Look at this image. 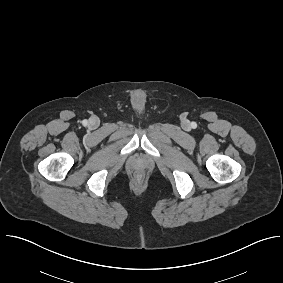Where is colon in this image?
Wrapping results in <instances>:
<instances>
[{
    "label": "colon",
    "mask_w": 283,
    "mask_h": 283,
    "mask_svg": "<svg viewBox=\"0 0 283 283\" xmlns=\"http://www.w3.org/2000/svg\"><path fill=\"white\" fill-rule=\"evenodd\" d=\"M135 179L137 181H141L143 179V175L141 173L136 174Z\"/></svg>",
    "instance_id": "5ec220e1"
}]
</instances>
